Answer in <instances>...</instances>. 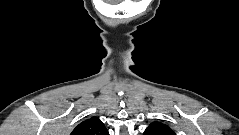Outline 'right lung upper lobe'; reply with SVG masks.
<instances>
[{
  "mask_svg": "<svg viewBox=\"0 0 239 135\" xmlns=\"http://www.w3.org/2000/svg\"><path fill=\"white\" fill-rule=\"evenodd\" d=\"M71 135H109V133L98 117H91L75 127Z\"/></svg>",
  "mask_w": 239,
  "mask_h": 135,
  "instance_id": "obj_1",
  "label": "right lung upper lobe"
}]
</instances>
